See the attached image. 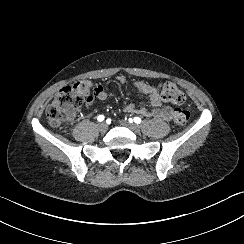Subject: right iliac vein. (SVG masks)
<instances>
[{
    "label": "right iliac vein",
    "instance_id": "1",
    "mask_svg": "<svg viewBox=\"0 0 244 244\" xmlns=\"http://www.w3.org/2000/svg\"><path fill=\"white\" fill-rule=\"evenodd\" d=\"M107 129H108V125H107V123H105V122H101V123L98 124V130H99L100 132H106Z\"/></svg>",
    "mask_w": 244,
    "mask_h": 244
}]
</instances>
